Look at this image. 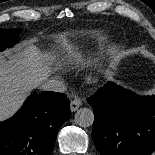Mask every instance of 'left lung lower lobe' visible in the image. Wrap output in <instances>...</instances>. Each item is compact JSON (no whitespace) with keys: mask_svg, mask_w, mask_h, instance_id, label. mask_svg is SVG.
Here are the masks:
<instances>
[{"mask_svg":"<svg viewBox=\"0 0 155 155\" xmlns=\"http://www.w3.org/2000/svg\"><path fill=\"white\" fill-rule=\"evenodd\" d=\"M92 138L101 155H150L155 150V96H138L110 82L87 99Z\"/></svg>","mask_w":155,"mask_h":155,"instance_id":"left-lung-lower-lobe-1","label":"left lung lower lobe"}]
</instances>
